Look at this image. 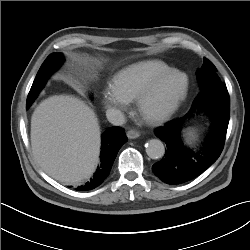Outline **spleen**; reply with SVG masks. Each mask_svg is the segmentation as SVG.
Instances as JSON below:
<instances>
[{
    "mask_svg": "<svg viewBox=\"0 0 250 250\" xmlns=\"http://www.w3.org/2000/svg\"><path fill=\"white\" fill-rule=\"evenodd\" d=\"M185 136H186V143L191 145L193 141H195L197 138L196 130L193 128L187 129Z\"/></svg>",
    "mask_w": 250,
    "mask_h": 250,
    "instance_id": "1",
    "label": "spleen"
}]
</instances>
